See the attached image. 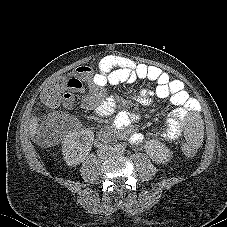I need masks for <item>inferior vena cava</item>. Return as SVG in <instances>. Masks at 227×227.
<instances>
[{
	"mask_svg": "<svg viewBox=\"0 0 227 227\" xmlns=\"http://www.w3.org/2000/svg\"><path fill=\"white\" fill-rule=\"evenodd\" d=\"M113 148L110 145H103L98 150V155L101 158H107L109 155L112 154Z\"/></svg>",
	"mask_w": 227,
	"mask_h": 227,
	"instance_id": "obj_1",
	"label": "inferior vena cava"
}]
</instances>
